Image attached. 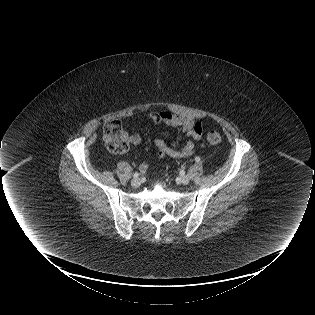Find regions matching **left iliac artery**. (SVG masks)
Instances as JSON below:
<instances>
[{
    "label": "left iliac artery",
    "instance_id": "1",
    "mask_svg": "<svg viewBox=\"0 0 315 315\" xmlns=\"http://www.w3.org/2000/svg\"><path fill=\"white\" fill-rule=\"evenodd\" d=\"M195 161H196V162H199V161H200V158H199V157H196V158H195Z\"/></svg>",
    "mask_w": 315,
    "mask_h": 315
}]
</instances>
